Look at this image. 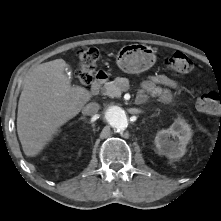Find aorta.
Instances as JSON below:
<instances>
[{"instance_id":"762f6f07","label":"aorta","mask_w":221,"mask_h":221,"mask_svg":"<svg viewBox=\"0 0 221 221\" xmlns=\"http://www.w3.org/2000/svg\"><path fill=\"white\" fill-rule=\"evenodd\" d=\"M106 121L116 130L124 131L128 126L127 114L119 106H111L105 112Z\"/></svg>"}]
</instances>
